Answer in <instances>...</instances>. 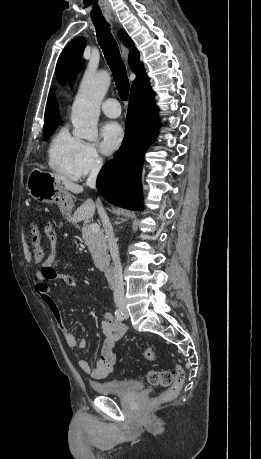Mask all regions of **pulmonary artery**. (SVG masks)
Returning a JSON list of instances; mask_svg holds the SVG:
<instances>
[{
    "mask_svg": "<svg viewBox=\"0 0 261 459\" xmlns=\"http://www.w3.org/2000/svg\"><path fill=\"white\" fill-rule=\"evenodd\" d=\"M103 113L110 118H117L121 114V107L115 98L106 99L101 106Z\"/></svg>",
    "mask_w": 261,
    "mask_h": 459,
    "instance_id": "e3ab8cb5",
    "label": "pulmonary artery"
}]
</instances>
